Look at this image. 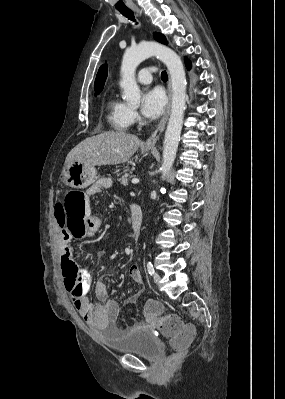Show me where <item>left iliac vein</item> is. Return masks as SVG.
Returning <instances> with one entry per match:
<instances>
[{
	"mask_svg": "<svg viewBox=\"0 0 285 399\" xmlns=\"http://www.w3.org/2000/svg\"><path fill=\"white\" fill-rule=\"evenodd\" d=\"M153 279L158 284L160 282V275L157 272H155L153 275Z\"/></svg>",
	"mask_w": 285,
	"mask_h": 399,
	"instance_id": "obj_1",
	"label": "left iliac vein"
}]
</instances>
